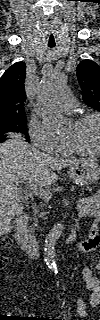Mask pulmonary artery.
I'll return each mask as SVG.
<instances>
[{
	"label": "pulmonary artery",
	"mask_w": 100,
	"mask_h": 320,
	"mask_svg": "<svg viewBox=\"0 0 100 320\" xmlns=\"http://www.w3.org/2000/svg\"><path fill=\"white\" fill-rule=\"evenodd\" d=\"M57 107L64 113L72 114L76 110V101L68 93H63L56 102Z\"/></svg>",
	"instance_id": "obj_1"
}]
</instances>
